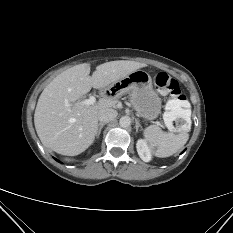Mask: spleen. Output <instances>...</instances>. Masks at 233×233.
Listing matches in <instances>:
<instances>
[{"mask_svg": "<svg viewBox=\"0 0 233 233\" xmlns=\"http://www.w3.org/2000/svg\"><path fill=\"white\" fill-rule=\"evenodd\" d=\"M166 111L163 115L165 123L169 126L177 118H183L186 121L185 129L178 135L172 132H163L159 127L152 125L144 130L145 139L156 147V156L169 157L181 149L187 142L189 135L187 129L191 124V109L188 101L170 100L166 104Z\"/></svg>", "mask_w": 233, "mask_h": 233, "instance_id": "1", "label": "spleen"}]
</instances>
